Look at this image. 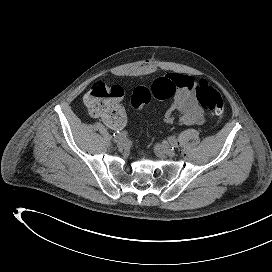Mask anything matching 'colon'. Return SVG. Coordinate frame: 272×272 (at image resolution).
<instances>
[{
	"label": "colon",
	"instance_id": "1",
	"mask_svg": "<svg viewBox=\"0 0 272 272\" xmlns=\"http://www.w3.org/2000/svg\"><path fill=\"white\" fill-rule=\"evenodd\" d=\"M177 92V84L168 77L158 78L147 87H137L131 96V105L138 109L152 99H170ZM199 104L211 115L221 118L225 112V103L221 94L205 81H199L195 87ZM124 91L119 86H108L102 82L94 83L84 97L88 111L101 118L111 117L119 111V100Z\"/></svg>",
	"mask_w": 272,
	"mask_h": 272
}]
</instances>
